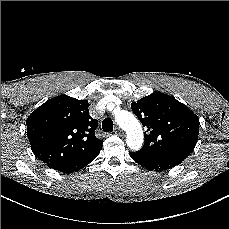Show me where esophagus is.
Segmentation results:
<instances>
[{
    "label": "esophagus",
    "mask_w": 229,
    "mask_h": 229,
    "mask_svg": "<svg viewBox=\"0 0 229 229\" xmlns=\"http://www.w3.org/2000/svg\"><path fill=\"white\" fill-rule=\"evenodd\" d=\"M114 132L115 134L120 135V136L124 135V131L120 127H116L114 129Z\"/></svg>",
    "instance_id": "esophagus-1"
}]
</instances>
